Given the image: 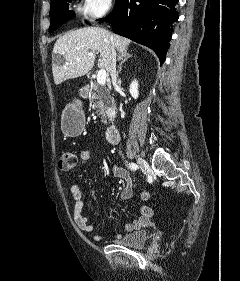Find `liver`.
<instances>
[{
	"mask_svg": "<svg viewBox=\"0 0 240 281\" xmlns=\"http://www.w3.org/2000/svg\"><path fill=\"white\" fill-rule=\"evenodd\" d=\"M131 41L99 27H85L70 31L60 37L52 52V73L54 83L59 85L66 80L87 74L94 66L96 54L100 53L98 67L111 72V51L127 52ZM92 53V56H89ZM59 55L63 63L55 60Z\"/></svg>",
	"mask_w": 240,
	"mask_h": 281,
	"instance_id": "1",
	"label": "liver"
}]
</instances>
